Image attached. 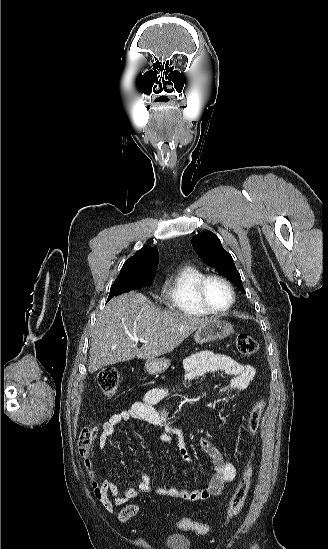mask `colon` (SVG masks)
<instances>
[{
	"instance_id": "colon-1",
	"label": "colon",
	"mask_w": 328,
	"mask_h": 549,
	"mask_svg": "<svg viewBox=\"0 0 328 549\" xmlns=\"http://www.w3.org/2000/svg\"><path fill=\"white\" fill-rule=\"evenodd\" d=\"M236 347L238 352L243 356H252L258 350L257 342L247 334H239L236 338ZM98 386L101 392L105 396L114 395L119 387V375L115 369L107 368L99 372L97 378ZM265 407V401L259 400L252 407L249 416L247 418V430L251 439V449L249 452L248 460L238 485L231 496L224 520V525L234 519L240 510L242 509L247 495L249 493L252 477H253V460L255 455L254 442L256 440L257 431L259 428L261 416ZM97 430L93 425L85 426L79 435L78 446L81 455L85 458V463L88 468H91V462L89 460V454L96 438ZM96 486V484H94ZM95 494L99 498V488H95ZM139 512V507L136 504H126L120 510L118 518L121 522H127L134 518ZM177 526L194 532L198 535H204L210 531L208 524L191 520L189 518H180L177 521Z\"/></svg>"
}]
</instances>
